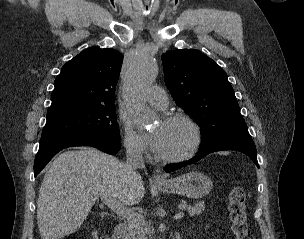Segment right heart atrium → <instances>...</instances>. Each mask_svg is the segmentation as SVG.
<instances>
[{
	"instance_id": "1",
	"label": "right heart atrium",
	"mask_w": 304,
	"mask_h": 239,
	"mask_svg": "<svg viewBox=\"0 0 304 239\" xmlns=\"http://www.w3.org/2000/svg\"><path fill=\"white\" fill-rule=\"evenodd\" d=\"M124 127V144L127 151L135 156H139L144 152V147L140 137L135 132L130 121L126 118L123 119Z\"/></svg>"
}]
</instances>
